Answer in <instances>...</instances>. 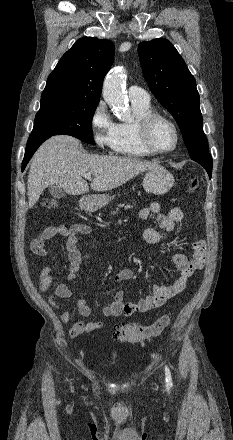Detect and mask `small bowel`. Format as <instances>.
Instances as JSON below:
<instances>
[{"label": "small bowel", "mask_w": 233, "mask_h": 440, "mask_svg": "<svg viewBox=\"0 0 233 440\" xmlns=\"http://www.w3.org/2000/svg\"><path fill=\"white\" fill-rule=\"evenodd\" d=\"M141 219H147L150 215L156 217L158 226L162 231L154 228H147L143 233L144 240L149 244L161 242L167 233L175 230L178 223L184 220V214L179 207H173L167 214L161 212L158 202H152L147 208L139 211ZM91 227L84 223H75L71 226L59 225L46 228L31 241L32 251L39 256H46L48 253L46 243L55 237L66 238V250L70 261L68 281L78 278L82 265L91 257L90 253H82L78 247V238L81 235H88ZM193 254L188 256L183 253H176L172 261L179 271L178 278L170 285L155 284L153 294L135 302H125L124 292L118 290L112 299L104 306L103 315L107 317L132 316L145 313L149 310L163 306L169 299L180 294L186 288L188 280L195 271L202 269L206 261V245L204 240H195L192 243ZM134 276L132 269L125 268L114 276V281L119 283L131 279ZM39 289L46 292L54 281V277L49 266H44L40 272ZM72 293L66 284H59L52 296L49 298L50 304L58 310L59 319L66 323L70 320L69 311L63 309L56 301V298L70 299ZM76 306L83 319L73 323L69 329V336L76 338L84 333H90L104 327L102 321L86 320L91 315V309L83 299L76 300Z\"/></svg>", "instance_id": "c3829d8e"}]
</instances>
